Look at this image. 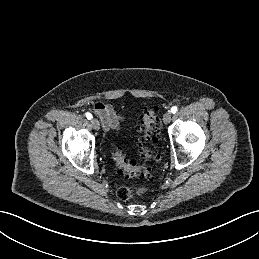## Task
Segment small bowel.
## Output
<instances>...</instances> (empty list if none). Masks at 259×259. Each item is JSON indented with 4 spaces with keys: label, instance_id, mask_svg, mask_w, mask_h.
Instances as JSON below:
<instances>
[{
    "label": "small bowel",
    "instance_id": "c3829d8e",
    "mask_svg": "<svg viewBox=\"0 0 259 259\" xmlns=\"http://www.w3.org/2000/svg\"><path fill=\"white\" fill-rule=\"evenodd\" d=\"M93 110L99 116L105 130L119 131L122 128L124 117L117 113L112 105L95 102Z\"/></svg>",
    "mask_w": 259,
    "mask_h": 259
}]
</instances>
